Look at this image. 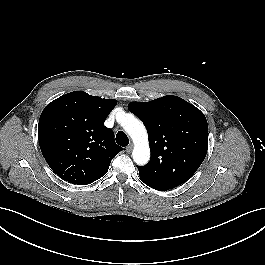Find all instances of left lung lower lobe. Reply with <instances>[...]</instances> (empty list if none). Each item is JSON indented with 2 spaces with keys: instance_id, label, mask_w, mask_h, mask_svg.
Here are the masks:
<instances>
[{
  "instance_id": "obj_1",
  "label": "left lung lower lobe",
  "mask_w": 265,
  "mask_h": 265,
  "mask_svg": "<svg viewBox=\"0 0 265 265\" xmlns=\"http://www.w3.org/2000/svg\"><path fill=\"white\" fill-rule=\"evenodd\" d=\"M146 185H148L149 187H151V188H153V189H156V190H162V189H160V188H158V187H156V186H154V185H151V184H148V183H146V182H144Z\"/></svg>"
}]
</instances>
